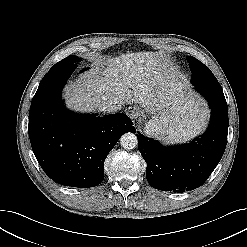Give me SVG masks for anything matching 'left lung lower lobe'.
Returning <instances> with one entry per match:
<instances>
[{
    "mask_svg": "<svg viewBox=\"0 0 247 247\" xmlns=\"http://www.w3.org/2000/svg\"><path fill=\"white\" fill-rule=\"evenodd\" d=\"M191 83L211 108L210 125L202 136L188 144L164 147L137 134L139 151L147 163V181L159 190L182 193L200 187L225 151L229 121L223 90L205 65L192 73Z\"/></svg>",
    "mask_w": 247,
    "mask_h": 247,
    "instance_id": "obj_1",
    "label": "left lung lower lobe"
}]
</instances>
